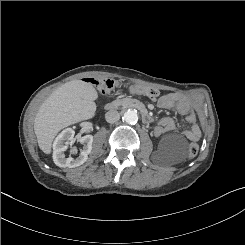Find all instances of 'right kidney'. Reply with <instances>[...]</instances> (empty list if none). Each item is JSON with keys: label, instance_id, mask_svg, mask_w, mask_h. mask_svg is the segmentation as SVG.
Wrapping results in <instances>:
<instances>
[{"label": "right kidney", "instance_id": "obj_1", "mask_svg": "<svg viewBox=\"0 0 245 245\" xmlns=\"http://www.w3.org/2000/svg\"><path fill=\"white\" fill-rule=\"evenodd\" d=\"M75 131L72 128L63 130L55 139L53 144V161L61 167L74 168L82 165L86 162L88 155L92 150L93 136L85 135L79 141L83 144V149L80 152L79 157L72 158L71 156L65 158L64 151L67 150L69 145H72ZM76 149H72V153H75Z\"/></svg>", "mask_w": 245, "mask_h": 245}]
</instances>
